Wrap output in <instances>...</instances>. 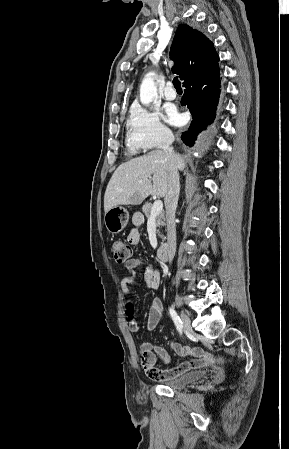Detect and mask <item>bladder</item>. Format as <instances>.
Listing matches in <instances>:
<instances>
[{"mask_svg": "<svg viewBox=\"0 0 289 449\" xmlns=\"http://www.w3.org/2000/svg\"><path fill=\"white\" fill-rule=\"evenodd\" d=\"M206 373L202 370L190 371L177 378L160 381L159 384L171 388L173 390L186 389L189 386L201 381Z\"/></svg>", "mask_w": 289, "mask_h": 449, "instance_id": "1", "label": "bladder"}]
</instances>
